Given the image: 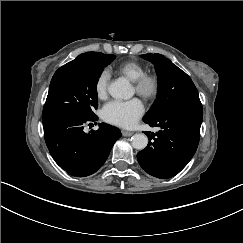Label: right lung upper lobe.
<instances>
[{"instance_id":"right-lung-upper-lobe-1","label":"right lung upper lobe","mask_w":243,"mask_h":243,"mask_svg":"<svg viewBox=\"0 0 243 243\" xmlns=\"http://www.w3.org/2000/svg\"><path fill=\"white\" fill-rule=\"evenodd\" d=\"M103 55V53L100 52H86L84 54H80L75 60L69 62V63H75V62H81V61H89L94 58H97L99 56Z\"/></svg>"}]
</instances>
